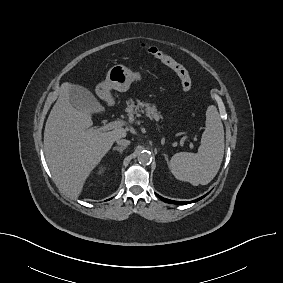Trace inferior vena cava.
I'll return each mask as SVG.
<instances>
[{"instance_id":"inferior-vena-cava-1","label":"inferior vena cava","mask_w":283,"mask_h":283,"mask_svg":"<svg viewBox=\"0 0 283 283\" xmlns=\"http://www.w3.org/2000/svg\"><path fill=\"white\" fill-rule=\"evenodd\" d=\"M116 143H117L118 145H121V146L126 147V146H128V145L130 144V141H129V140H126V139L118 138V139H116Z\"/></svg>"}]
</instances>
